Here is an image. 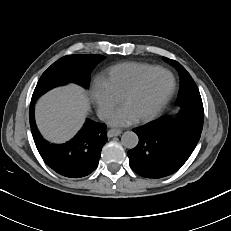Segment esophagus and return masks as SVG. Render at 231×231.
<instances>
[{
	"mask_svg": "<svg viewBox=\"0 0 231 231\" xmlns=\"http://www.w3.org/2000/svg\"><path fill=\"white\" fill-rule=\"evenodd\" d=\"M122 133V130L120 129H110L107 132V136L109 138L114 137V136H119Z\"/></svg>",
	"mask_w": 231,
	"mask_h": 231,
	"instance_id": "esophagus-1",
	"label": "esophagus"
}]
</instances>
